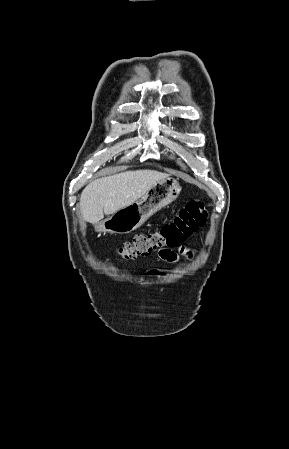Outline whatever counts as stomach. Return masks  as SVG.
Returning a JSON list of instances; mask_svg holds the SVG:
<instances>
[{"instance_id": "stomach-1", "label": "stomach", "mask_w": 289, "mask_h": 449, "mask_svg": "<svg viewBox=\"0 0 289 449\" xmlns=\"http://www.w3.org/2000/svg\"><path fill=\"white\" fill-rule=\"evenodd\" d=\"M178 180L167 177L153 185L139 200L121 208L95 225L98 232L126 234L173 202L181 191Z\"/></svg>"}]
</instances>
